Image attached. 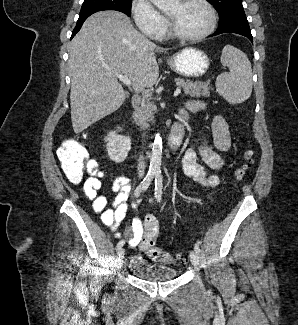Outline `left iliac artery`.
Returning a JSON list of instances; mask_svg holds the SVG:
<instances>
[{
  "mask_svg": "<svg viewBox=\"0 0 298 325\" xmlns=\"http://www.w3.org/2000/svg\"><path fill=\"white\" fill-rule=\"evenodd\" d=\"M162 188H163V177L161 174V171H157L155 173V198L157 200V202L161 201V197H162ZM194 250L197 254L200 253V247L198 244L194 245Z\"/></svg>",
  "mask_w": 298,
  "mask_h": 325,
  "instance_id": "44dca946",
  "label": "left iliac artery"
}]
</instances>
